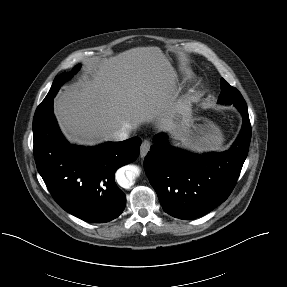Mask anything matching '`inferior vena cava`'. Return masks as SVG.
I'll list each match as a JSON object with an SVG mask.
<instances>
[{
	"instance_id": "1",
	"label": "inferior vena cava",
	"mask_w": 287,
	"mask_h": 287,
	"mask_svg": "<svg viewBox=\"0 0 287 287\" xmlns=\"http://www.w3.org/2000/svg\"><path fill=\"white\" fill-rule=\"evenodd\" d=\"M131 128H122L112 133L111 139L114 141H123L129 137Z\"/></svg>"
}]
</instances>
